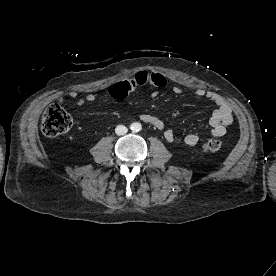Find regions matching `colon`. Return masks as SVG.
I'll return each mask as SVG.
<instances>
[{"label": "colon", "mask_w": 276, "mask_h": 276, "mask_svg": "<svg viewBox=\"0 0 276 276\" xmlns=\"http://www.w3.org/2000/svg\"><path fill=\"white\" fill-rule=\"evenodd\" d=\"M72 127V118L65 109L58 105H50L42 117V132L48 137H55L66 133ZM222 140L219 138H209L203 144L205 152H217L222 148Z\"/></svg>", "instance_id": "5ec220e1"}]
</instances>
